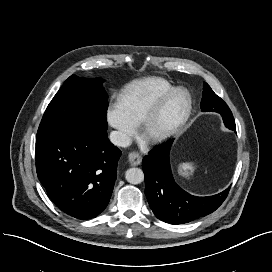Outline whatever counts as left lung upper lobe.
I'll return each instance as SVG.
<instances>
[{"mask_svg": "<svg viewBox=\"0 0 272 272\" xmlns=\"http://www.w3.org/2000/svg\"><path fill=\"white\" fill-rule=\"evenodd\" d=\"M200 107L203 111H212V112H218V113L230 111L227 104L219 96H217L213 92V90L210 88V86L205 82H204L203 97H202ZM231 125H232V128L235 127L234 120L231 121Z\"/></svg>", "mask_w": 272, "mask_h": 272, "instance_id": "obj_1", "label": "left lung upper lobe"}]
</instances>
